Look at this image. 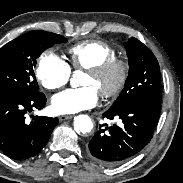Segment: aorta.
Instances as JSON below:
<instances>
[{"label": "aorta", "mask_w": 183, "mask_h": 183, "mask_svg": "<svg viewBox=\"0 0 183 183\" xmlns=\"http://www.w3.org/2000/svg\"><path fill=\"white\" fill-rule=\"evenodd\" d=\"M80 73V71H75L73 74V78H71L70 80V84L73 88L79 86L78 76L80 75ZM74 129L77 132L89 133L93 129V122L88 115H79L74 119Z\"/></svg>", "instance_id": "obj_1"}]
</instances>
